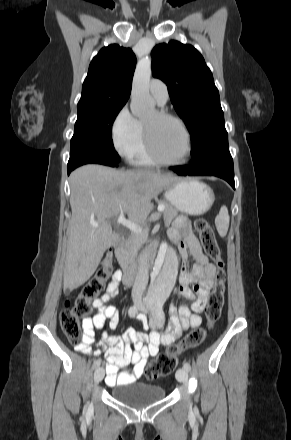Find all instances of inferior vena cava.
<instances>
[{
	"label": "inferior vena cava",
	"mask_w": 291,
	"mask_h": 440,
	"mask_svg": "<svg viewBox=\"0 0 291 440\" xmlns=\"http://www.w3.org/2000/svg\"><path fill=\"white\" fill-rule=\"evenodd\" d=\"M149 279V265L147 261V255L141 254L138 272L132 287V300L136 304L142 302V296L146 289Z\"/></svg>",
	"instance_id": "1"
}]
</instances>
